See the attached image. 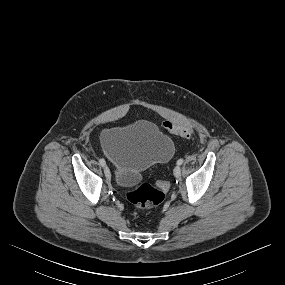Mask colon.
<instances>
[{
	"label": "colon",
	"mask_w": 285,
	"mask_h": 285,
	"mask_svg": "<svg viewBox=\"0 0 285 285\" xmlns=\"http://www.w3.org/2000/svg\"><path fill=\"white\" fill-rule=\"evenodd\" d=\"M164 128L171 134L191 139L195 133L191 127L165 121ZM168 184L161 182L155 185L141 184L127 193L128 200L138 209H153L157 207L165 197Z\"/></svg>",
	"instance_id": "1"
}]
</instances>
